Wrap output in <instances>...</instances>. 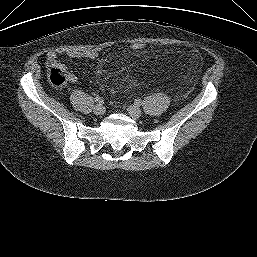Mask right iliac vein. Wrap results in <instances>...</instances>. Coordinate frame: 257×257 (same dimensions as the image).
<instances>
[{"label":"right iliac vein","instance_id":"63e3f726","mask_svg":"<svg viewBox=\"0 0 257 257\" xmlns=\"http://www.w3.org/2000/svg\"><path fill=\"white\" fill-rule=\"evenodd\" d=\"M93 112L95 115H103L105 113V108L102 104H97L93 108Z\"/></svg>","mask_w":257,"mask_h":257}]
</instances>
